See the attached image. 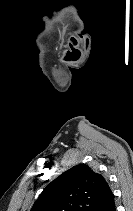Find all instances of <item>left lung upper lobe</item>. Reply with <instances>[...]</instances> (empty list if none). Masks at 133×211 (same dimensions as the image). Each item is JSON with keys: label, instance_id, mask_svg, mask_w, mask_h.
<instances>
[{"label": "left lung upper lobe", "instance_id": "5c2ea615", "mask_svg": "<svg viewBox=\"0 0 133 211\" xmlns=\"http://www.w3.org/2000/svg\"><path fill=\"white\" fill-rule=\"evenodd\" d=\"M111 192L101 174L79 164L49 183L31 211H93Z\"/></svg>", "mask_w": 133, "mask_h": 211}]
</instances>
